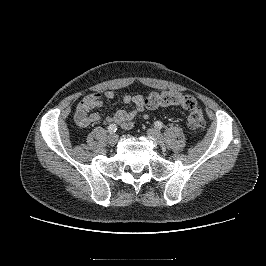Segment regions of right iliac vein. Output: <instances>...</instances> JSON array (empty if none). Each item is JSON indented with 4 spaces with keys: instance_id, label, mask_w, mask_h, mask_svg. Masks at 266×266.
I'll list each match as a JSON object with an SVG mask.
<instances>
[{
    "instance_id": "obj_1",
    "label": "right iliac vein",
    "mask_w": 266,
    "mask_h": 266,
    "mask_svg": "<svg viewBox=\"0 0 266 266\" xmlns=\"http://www.w3.org/2000/svg\"><path fill=\"white\" fill-rule=\"evenodd\" d=\"M118 142V136L116 134H111L109 135L108 137V143L111 145V146H114L116 145Z\"/></svg>"
}]
</instances>
